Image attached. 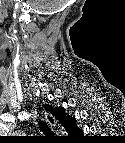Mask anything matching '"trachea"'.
I'll return each instance as SVG.
<instances>
[{
	"instance_id": "obj_1",
	"label": "trachea",
	"mask_w": 125,
	"mask_h": 143,
	"mask_svg": "<svg viewBox=\"0 0 125 143\" xmlns=\"http://www.w3.org/2000/svg\"><path fill=\"white\" fill-rule=\"evenodd\" d=\"M38 125L41 131H43L46 136H52L50 128L44 122L41 121L38 123Z\"/></svg>"
}]
</instances>
